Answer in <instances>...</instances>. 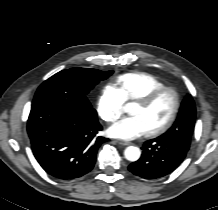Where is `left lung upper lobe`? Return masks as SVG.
<instances>
[{
    "instance_id": "obj_1",
    "label": "left lung upper lobe",
    "mask_w": 218,
    "mask_h": 210,
    "mask_svg": "<svg viewBox=\"0 0 218 210\" xmlns=\"http://www.w3.org/2000/svg\"><path fill=\"white\" fill-rule=\"evenodd\" d=\"M196 119V110L193 98L188 94L182 102L178 117L173 126L163 135L165 139L181 138L191 142Z\"/></svg>"
}]
</instances>
